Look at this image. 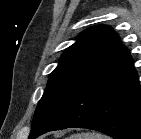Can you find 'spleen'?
<instances>
[{
	"label": "spleen",
	"instance_id": "3e777b00",
	"mask_svg": "<svg viewBox=\"0 0 141 139\" xmlns=\"http://www.w3.org/2000/svg\"><path fill=\"white\" fill-rule=\"evenodd\" d=\"M69 139H110V138L99 133H80L71 135Z\"/></svg>",
	"mask_w": 141,
	"mask_h": 139
}]
</instances>
